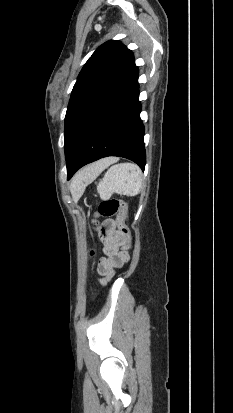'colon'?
Masks as SVG:
<instances>
[{"label": "colon", "instance_id": "colon-1", "mask_svg": "<svg viewBox=\"0 0 233 413\" xmlns=\"http://www.w3.org/2000/svg\"><path fill=\"white\" fill-rule=\"evenodd\" d=\"M116 215V227L119 234L126 240L129 246L131 240V234L125 224L127 216V205L124 201L118 199H106L100 202L95 217L109 218ZM93 226L98 228L101 232L105 230L104 225H99L97 220L92 221Z\"/></svg>", "mask_w": 233, "mask_h": 413}]
</instances>
